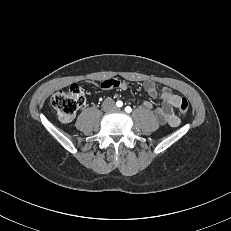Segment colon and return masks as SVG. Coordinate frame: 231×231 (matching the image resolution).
<instances>
[{
    "label": "colon",
    "instance_id": "1",
    "mask_svg": "<svg viewBox=\"0 0 231 231\" xmlns=\"http://www.w3.org/2000/svg\"><path fill=\"white\" fill-rule=\"evenodd\" d=\"M84 102L85 97L83 91L77 84L71 85L67 90L56 92L51 99V105L58 119L63 123L71 122ZM178 108L182 113L188 111L189 102L186 98L181 99Z\"/></svg>",
    "mask_w": 231,
    "mask_h": 231
}]
</instances>
